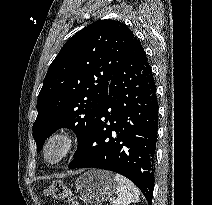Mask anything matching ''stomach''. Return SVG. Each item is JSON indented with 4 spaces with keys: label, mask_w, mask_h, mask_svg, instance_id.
I'll list each match as a JSON object with an SVG mask.
<instances>
[{
    "label": "stomach",
    "mask_w": 212,
    "mask_h": 205,
    "mask_svg": "<svg viewBox=\"0 0 212 205\" xmlns=\"http://www.w3.org/2000/svg\"><path fill=\"white\" fill-rule=\"evenodd\" d=\"M116 186L113 173L105 170H89L75 181L80 198L94 205L108 200L115 192Z\"/></svg>",
    "instance_id": "1"
}]
</instances>
